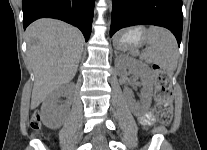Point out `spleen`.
<instances>
[{
  "label": "spleen",
  "instance_id": "1",
  "mask_svg": "<svg viewBox=\"0 0 207 150\" xmlns=\"http://www.w3.org/2000/svg\"><path fill=\"white\" fill-rule=\"evenodd\" d=\"M145 40L148 48L142 57L172 74L178 62V46L174 35L165 28L151 26L145 31ZM129 50L133 56L140 54L136 47Z\"/></svg>",
  "mask_w": 207,
  "mask_h": 150
}]
</instances>
